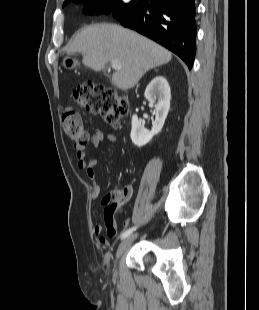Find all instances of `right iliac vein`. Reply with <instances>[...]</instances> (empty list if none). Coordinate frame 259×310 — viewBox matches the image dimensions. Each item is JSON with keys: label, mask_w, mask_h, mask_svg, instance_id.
Masks as SVG:
<instances>
[{"label": "right iliac vein", "mask_w": 259, "mask_h": 310, "mask_svg": "<svg viewBox=\"0 0 259 310\" xmlns=\"http://www.w3.org/2000/svg\"><path fill=\"white\" fill-rule=\"evenodd\" d=\"M138 234H131L126 239H124L121 244L118 247L117 254H116V261L117 259L122 255V253L134 242V240L137 238ZM115 261V262H116ZM114 273L116 274V271L114 269Z\"/></svg>", "instance_id": "obj_1"}]
</instances>
